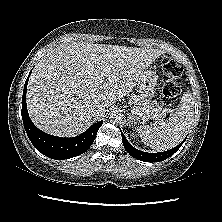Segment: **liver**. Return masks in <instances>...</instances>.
Instances as JSON below:
<instances>
[{"label": "liver", "instance_id": "obj_1", "mask_svg": "<svg viewBox=\"0 0 222 222\" xmlns=\"http://www.w3.org/2000/svg\"><path fill=\"white\" fill-rule=\"evenodd\" d=\"M164 52L152 48L74 42L50 50L35 66L27 87L33 123L60 137L81 133L97 105L105 111L132 92L143 71Z\"/></svg>", "mask_w": 222, "mask_h": 222}]
</instances>
